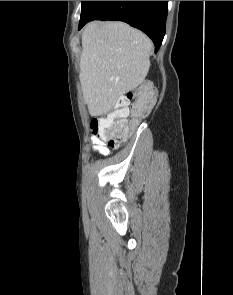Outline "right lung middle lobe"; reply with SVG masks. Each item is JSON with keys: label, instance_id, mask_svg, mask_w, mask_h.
Listing matches in <instances>:
<instances>
[{"label": "right lung middle lobe", "instance_id": "right-lung-middle-lobe-1", "mask_svg": "<svg viewBox=\"0 0 233 295\" xmlns=\"http://www.w3.org/2000/svg\"><path fill=\"white\" fill-rule=\"evenodd\" d=\"M90 1H82V7H81V15L83 14L85 8L87 7L88 3Z\"/></svg>", "mask_w": 233, "mask_h": 295}]
</instances>
